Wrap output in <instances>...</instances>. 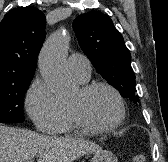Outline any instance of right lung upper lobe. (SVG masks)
I'll use <instances>...</instances> for the list:
<instances>
[{
	"instance_id": "1",
	"label": "right lung upper lobe",
	"mask_w": 168,
	"mask_h": 162,
	"mask_svg": "<svg viewBox=\"0 0 168 162\" xmlns=\"http://www.w3.org/2000/svg\"><path fill=\"white\" fill-rule=\"evenodd\" d=\"M46 18L33 6L9 11L0 23V81L34 74Z\"/></svg>"
}]
</instances>
